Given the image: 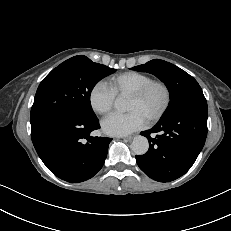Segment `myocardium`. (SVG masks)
<instances>
[{
	"mask_svg": "<svg viewBox=\"0 0 231 231\" xmlns=\"http://www.w3.org/2000/svg\"><path fill=\"white\" fill-rule=\"evenodd\" d=\"M153 88H160L163 92V103L161 107L152 115H150L147 119L149 122L154 123L159 121L164 117L167 113L172 100L171 89L169 85L160 79H152L143 85L138 90L132 92L129 97L134 98L136 100H143Z\"/></svg>",
	"mask_w": 231,
	"mask_h": 231,
	"instance_id": "myocardium-1",
	"label": "myocardium"
}]
</instances>
